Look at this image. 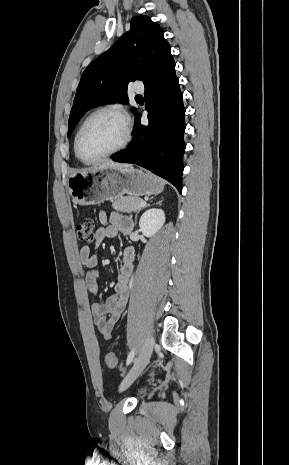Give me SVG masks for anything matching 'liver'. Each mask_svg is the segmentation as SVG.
Segmentation results:
<instances>
[{
    "label": "liver",
    "instance_id": "6515ba94",
    "mask_svg": "<svg viewBox=\"0 0 289 465\" xmlns=\"http://www.w3.org/2000/svg\"><path fill=\"white\" fill-rule=\"evenodd\" d=\"M107 167H111V168H128V167H131V165L130 164H124V163H115V162H113L111 160H107V161L103 162L102 164H100L98 166L89 168L87 171L94 170V169H100V168H107Z\"/></svg>",
    "mask_w": 289,
    "mask_h": 465
}]
</instances>
